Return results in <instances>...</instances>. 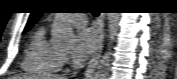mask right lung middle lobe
<instances>
[{
    "label": "right lung middle lobe",
    "instance_id": "obj_1",
    "mask_svg": "<svg viewBox=\"0 0 177 79\" xmlns=\"http://www.w3.org/2000/svg\"><path fill=\"white\" fill-rule=\"evenodd\" d=\"M32 26H27L25 27L24 31H23V34L26 33Z\"/></svg>",
    "mask_w": 177,
    "mask_h": 79
}]
</instances>
